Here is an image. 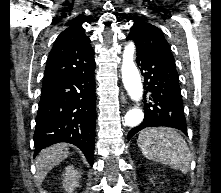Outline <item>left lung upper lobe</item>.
<instances>
[{
  "mask_svg": "<svg viewBox=\"0 0 221 193\" xmlns=\"http://www.w3.org/2000/svg\"><path fill=\"white\" fill-rule=\"evenodd\" d=\"M127 39H133L136 50L175 64L170 46L162 31L154 25L136 20Z\"/></svg>",
  "mask_w": 221,
  "mask_h": 193,
  "instance_id": "left-lung-upper-lobe-1",
  "label": "left lung upper lobe"
}]
</instances>
